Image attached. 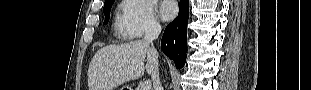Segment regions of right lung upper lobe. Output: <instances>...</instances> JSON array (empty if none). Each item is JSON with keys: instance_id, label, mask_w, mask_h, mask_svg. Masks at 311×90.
I'll return each instance as SVG.
<instances>
[{"instance_id": "1", "label": "right lung upper lobe", "mask_w": 311, "mask_h": 90, "mask_svg": "<svg viewBox=\"0 0 311 90\" xmlns=\"http://www.w3.org/2000/svg\"><path fill=\"white\" fill-rule=\"evenodd\" d=\"M110 1H112V0H105V3H104V4L109 3Z\"/></svg>"}]
</instances>
